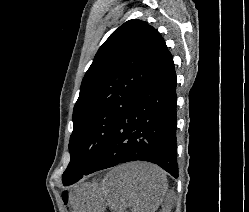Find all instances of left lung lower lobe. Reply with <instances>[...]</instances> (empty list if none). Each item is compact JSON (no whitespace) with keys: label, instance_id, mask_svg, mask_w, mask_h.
<instances>
[{"label":"left lung lower lobe","instance_id":"0a47b994","mask_svg":"<svg viewBox=\"0 0 249 212\" xmlns=\"http://www.w3.org/2000/svg\"><path fill=\"white\" fill-rule=\"evenodd\" d=\"M176 84L169 53L128 105L99 159L85 175L119 163L142 160L155 163L178 177Z\"/></svg>","mask_w":249,"mask_h":212}]
</instances>
